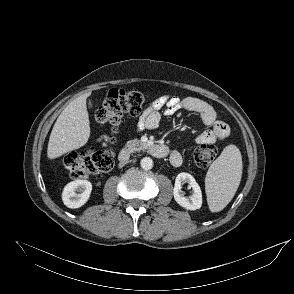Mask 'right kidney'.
Instances as JSON below:
<instances>
[{"label":"right kidney","instance_id":"right-kidney-1","mask_svg":"<svg viewBox=\"0 0 294 294\" xmlns=\"http://www.w3.org/2000/svg\"><path fill=\"white\" fill-rule=\"evenodd\" d=\"M82 191V193H77ZM92 191V184L88 180H74L68 183L62 192V200L68 208H79L89 199Z\"/></svg>","mask_w":294,"mask_h":294}]
</instances>
